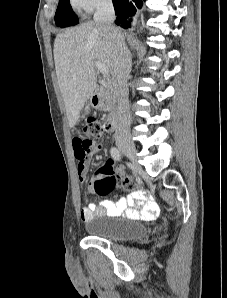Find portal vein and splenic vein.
<instances>
[{
  "mask_svg": "<svg viewBox=\"0 0 227 298\" xmlns=\"http://www.w3.org/2000/svg\"><path fill=\"white\" fill-rule=\"evenodd\" d=\"M95 67L100 71L103 76H107L109 74L108 68L99 61H95Z\"/></svg>",
  "mask_w": 227,
  "mask_h": 298,
  "instance_id": "obj_1",
  "label": "portal vein and splenic vein"
}]
</instances>
